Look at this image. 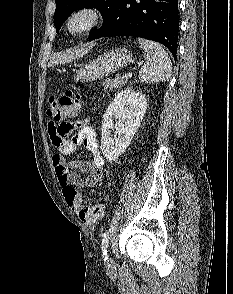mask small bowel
Masks as SVG:
<instances>
[{
    "label": "small bowel",
    "mask_w": 233,
    "mask_h": 294,
    "mask_svg": "<svg viewBox=\"0 0 233 294\" xmlns=\"http://www.w3.org/2000/svg\"><path fill=\"white\" fill-rule=\"evenodd\" d=\"M55 119L48 125L52 145L59 152L52 158L59 184L63 189H87L100 186L104 177V159L100 152L95 130L85 122L77 124L78 130L72 138H67L74 131L72 120ZM77 146H83L90 154L89 159H66L65 155L73 153Z\"/></svg>",
    "instance_id": "small-bowel-1"
}]
</instances>
